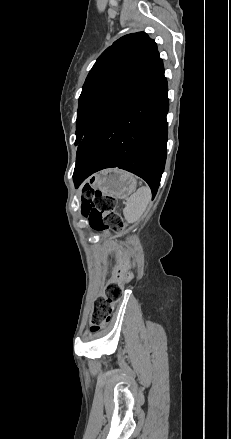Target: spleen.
Listing matches in <instances>:
<instances>
[{
  "label": "spleen",
  "instance_id": "obj_1",
  "mask_svg": "<svg viewBox=\"0 0 231 439\" xmlns=\"http://www.w3.org/2000/svg\"><path fill=\"white\" fill-rule=\"evenodd\" d=\"M151 199V190L148 186L140 187L126 202L123 210L125 219L128 222H136L143 215Z\"/></svg>",
  "mask_w": 231,
  "mask_h": 439
}]
</instances>
